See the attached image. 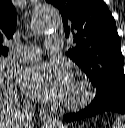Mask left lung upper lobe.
I'll list each match as a JSON object with an SVG mask.
<instances>
[{"label": "left lung upper lobe", "mask_w": 125, "mask_h": 128, "mask_svg": "<svg viewBox=\"0 0 125 128\" xmlns=\"http://www.w3.org/2000/svg\"><path fill=\"white\" fill-rule=\"evenodd\" d=\"M62 15L66 37L74 47L67 55L96 87L98 102L114 88L125 85L124 57L116 23L103 0H46Z\"/></svg>", "instance_id": "left-lung-upper-lobe-1"}]
</instances>
